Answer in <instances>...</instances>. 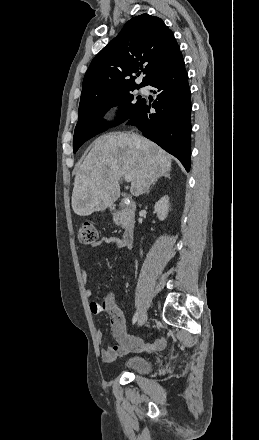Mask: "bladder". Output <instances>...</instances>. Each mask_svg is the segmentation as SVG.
Segmentation results:
<instances>
[{
  "mask_svg": "<svg viewBox=\"0 0 259 440\" xmlns=\"http://www.w3.org/2000/svg\"><path fill=\"white\" fill-rule=\"evenodd\" d=\"M122 368L134 374L146 375L153 370L154 365L153 362L144 355H132L123 362Z\"/></svg>",
  "mask_w": 259,
  "mask_h": 440,
  "instance_id": "1",
  "label": "bladder"
}]
</instances>
